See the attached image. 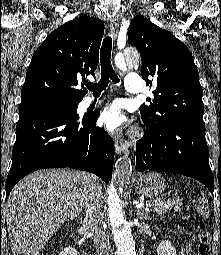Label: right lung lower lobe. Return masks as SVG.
I'll return each mask as SVG.
<instances>
[{
  "label": "right lung lower lobe",
  "instance_id": "right-lung-lower-lobe-1",
  "mask_svg": "<svg viewBox=\"0 0 221 255\" xmlns=\"http://www.w3.org/2000/svg\"><path fill=\"white\" fill-rule=\"evenodd\" d=\"M98 116L93 113L79 119L58 109L20 110L6 199L20 179L43 168L86 170L108 183L113 170L114 143L104 129L96 126Z\"/></svg>",
  "mask_w": 221,
  "mask_h": 255
}]
</instances>
